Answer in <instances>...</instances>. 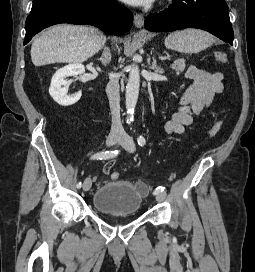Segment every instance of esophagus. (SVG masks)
<instances>
[{"instance_id": "obj_1", "label": "esophagus", "mask_w": 255, "mask_h": 272, "mask_svg": "<svg viewBox=\"0 0 255 272\" xmlns=\"http://www.w3.org/2000/svg\"><path fill=\"white\" fill-rule=\"evenodd\" d=\"M144 24V17L142 14L136 13L134 15V25L136 28L141 29Z\"/></svg>"}]
</instances>
